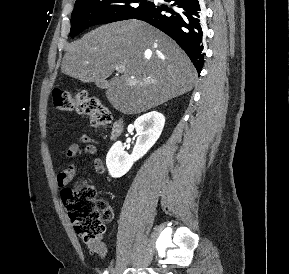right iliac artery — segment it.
<instances>
[{
  "instance_id": "1",
  "label": "right iliac artery",
  "mask_w": 289,
  "mask_h": 274,
  "mask_svg": "<svg viewBox=\"0 0 289 274\" xmlns=\"http://www.w3.org/2000/svg\"><path fill=\"white\" fill-rule=\"evenodd\" d=\"M103 274H108V271L106 270Z\"/></svg>"
}]
</instances>
